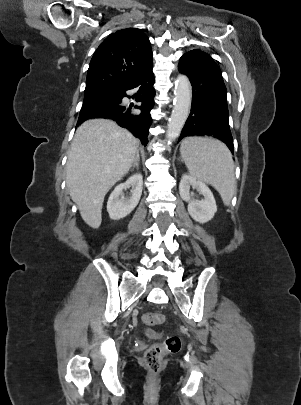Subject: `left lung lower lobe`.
Wrapping results in <instances>:
<instances>
[{
  "label": "left lung lower lobe",
  "instance_id": "left-lung-lower-lobe-1",
  "mask_svg": "<svg viewBox=\"0 0 301 405\" xmlns=\"http://www.w3.org/2000/svg\"><path fill=\"white\" fill-rule=\"evenodd\" d=\"M178 69L189 77L193 90L191 112L179 141L189 136H210L223 141L233 154L227 91L219 67L209 55L187 52L180 58Z\"/></svg>",
  "mask_w": 301,
  "mask_h": 405
}]
</instances>
